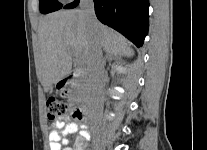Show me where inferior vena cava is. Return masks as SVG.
<instances>
[{
  "label": "inferior vena cava",
  "mask_w": 207,
  "mask_h": 150,
  "mask_svg": "<svg viewBox=\"0 0 207 150\" xmlns=\"http://www.w3.org/2000/svg\"><path fill=\"white\" fill-rule=\"evenodd\" d=\"M80 8L88 25L94 29L95 35L88 59L89 81L93 100L98 102L102 107L103 103V89L107 76L104 71V59L99 42V35L97 33V19L94 11L93 0H81Z\"/></svg>",
  "instance_id": "1"
}]
</instances>
